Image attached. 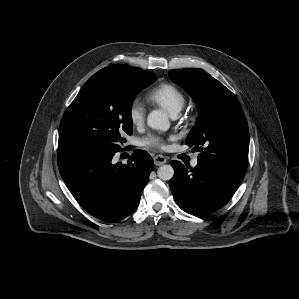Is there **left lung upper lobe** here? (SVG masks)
Returning a JSON list of instances; mask_svg holds the SVG:
<instances>
[{
	"label": "left lung upper lobe",
	"mask_w": 299,
	"mask_h": 299,
	"mask_svg": "<svg viewBox=\"0 0 299 299\" xmlns=\"http://www.w3.org/2000/svg\"><path fill=\"white\" fill-rule=\"evenodd\" d=\"M169 75L190 94L198 109L196 124L185 141L200 152L197 160L245 172L249 130L235 95L198 69L170 70Z\"/></svg>",
	"instance_id": "left-lung-upper-lobe-1"
}]
</instances>
